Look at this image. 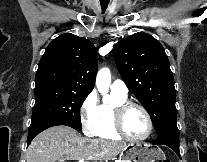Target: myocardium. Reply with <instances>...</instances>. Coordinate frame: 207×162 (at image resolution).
Segmentation results:
<instances>
[{
	"instance_id": "obj_1",
	"label": "myocardium",
	"mask_w": 207,
	"mask_h": 162,
	"mask_svg": "<svg viewBox=\"0 0 207 162\" xmlns=\"http://www.w3.org/2000/svg\"><path fill=\"white\" fill-rule=\"evenodd\" d=\"M132 108L140 109L144 113L146 120H147V123H148L147 132L141 137H132V136L128 135V133L124 129L125 115ZM112 115H113L114 130L118 136H120L124 139L130 140V141H135V142H140V141H144L147 138H149L153 132L154 125H153L151 115H150L149 111L140 103L126 101L122 104L116 105V106H114V108L112 110Z\"/></svg>"
}]
</instances>
